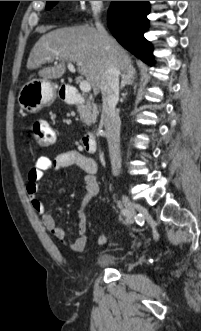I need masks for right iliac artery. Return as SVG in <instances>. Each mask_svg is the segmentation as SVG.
Instances as JSON below:
<instances>
[{
  "label": "right iliac artery",
  "mask_w": 201,
  "mask_h": 331,
  "mask_svg": "<svg viewBox=\"0 0 201 331\" xmlns=\"http://www.w3.org/2000/svg\"><path fill=\"white\" fill-rule=\"evenodd\" d=\"M121 213H122L123 215H126V214H127V210H126V209H123V210L121 211Z\"/></svg>",
  "instance_id": "right-iliac-artery-1"
}]
</instances>
